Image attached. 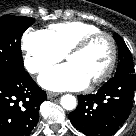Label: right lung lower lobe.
I'll list each match as a JSON object with an SVG mask.
<instances>
[{"mask_svg": "<svg viewBox=\"0 0 136 136\" xmlns=\"http://www.w3.org/2000/svg\"><path fill=\"white\" fill-rule=\"evenodd\" d=\"M45 99V91L26 71L0 75V136H28Z\"/></svg>", "mask_w": 136, "mask_h": 136, "instance_id": "right-lung-lower-lobe-1", "label": "right lung lower lobe"}]
</instances>
